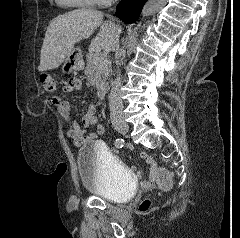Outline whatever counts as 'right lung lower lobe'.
<instances>
[{
    "instance_id": "right-lung-lower-lobe-1",
    "label": "right lung lower lobe",
    "mask_w": 240,
    "mask_h": 238,
    "mask_svg": "<svg viewBox=\"0 0 240 238\" xmlns=\"http://www.w3.org/2000/svg\"><path fill=\"white\" fill-rule=\"evenodd\" d=\"M147 0H122L117 6L116 15L126 23H134Z\"/></svg>"
}]
</instances>
